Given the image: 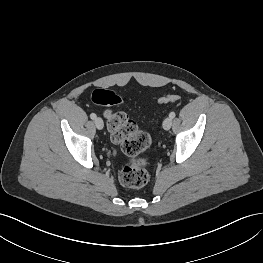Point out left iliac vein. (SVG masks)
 <instances>
[{"instance_id": "1", "label": "left iliac vein", "mask_w": 263, "mask_h": 263, "mask_svg": "<svg viewBox=\"0 0 263 263\" xmlns=\"http://www.w3.org/2000/svg\"><path fill=\"white\" fill-rule=\"evenodd\" d=\"M172 126V118L167 117L165 118V120L163 121V128L165 130H169Z\"/></svg>"}]
</instances>
